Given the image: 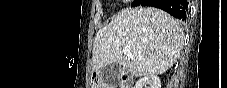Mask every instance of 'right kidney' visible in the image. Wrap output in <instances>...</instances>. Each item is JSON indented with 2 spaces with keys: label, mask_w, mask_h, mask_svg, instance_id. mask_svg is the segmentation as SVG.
Instances as JSON below:
<instances>
[{
  "label": "right kidney",
  "mask_w": 227,
  "mask_h": 88,
  "mask_svg": "<svg viewBox=\"0 0 227 88\" xmlns=\"http://www.w3.org/2000/svg\"><path fill=\"white\" fill-rule=\"evenodd\" d=\"M135 88H161V81L156 75H148L139 79Z\"/></svg>",
  "instance_id": "ca27d5eb"
}]
</instances>
